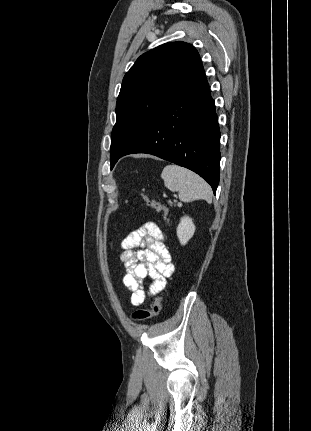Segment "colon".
Returning a JSON list of instances; mask_svg holds the SVG:
<instances>
[{
	"label": "colon",
	"mask_w": 311,
	"mask_h": 431,
	"mask_svg": "<svg viewBox=\"0 0 311 431\" xmlns=\"http://www.w3.org/2000/svg\"><path fill=\"white\" fill-rule=\"evenodd\" d=\"M143 201L153 210L160 213L162 215V219L165 223L169 220V210L168 208L158 200L151 199L146 195H142ZM161 311V297L154 296L150 305V309L148 310H137L133 313V318L135 320H144L150 317H154L159 315Z\"/></svg>",
	"instance_id": "1"
}]
</instances>
